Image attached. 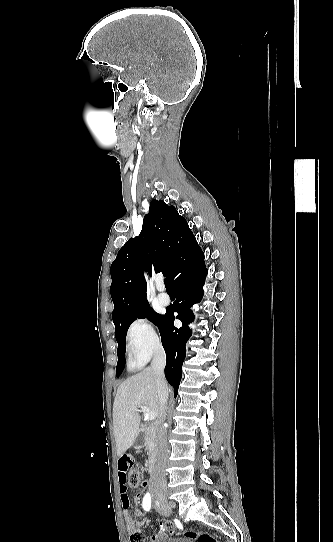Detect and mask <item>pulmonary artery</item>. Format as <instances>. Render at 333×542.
Segmentation results:
<instances>
[{"label": "pulmonary artery", "instance_id": "pulmonary-artery-1", "mask_svg": "<svg viewBox=\"0 0 333 542\" xmlns=\"http://www.w3.org/2000/svg\"><path fill=\"white\" fill-rule=\"evenodd\" d=\"M161 303H162L163 305H165V306H166V305H168V304H169V301H166V300H161Z\"/></svg>", "mask_w": 333, "mask_h": 542}]
</instances>
